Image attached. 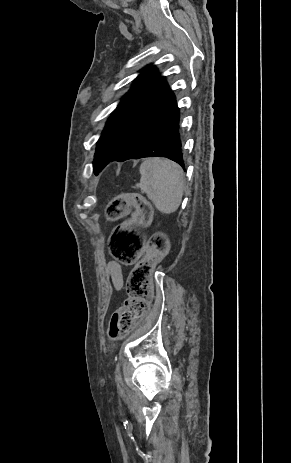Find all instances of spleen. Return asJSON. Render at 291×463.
Returning <instances> with one entry per match:
<instances>
[{"mask_svg":"<svg viewBox=\"0 0 291 463\" xmlns=\"http://www.w3.org/2000/svg\"><path fill=\"white\" fill-rule=\"evenodd\" d=\"M140 173V183L135 188L146 193L161 213L175 212L184 192V175L180 166L168 159L151 158L141 164Z\"/></svg>","mask_w":291,"mask_h":463,"instance_id":"spleen-1","label":"spleen"}]
</instances>
